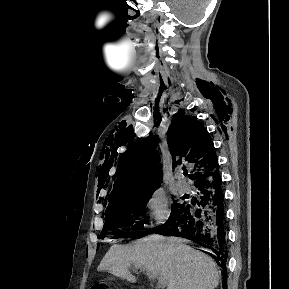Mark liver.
<instances>
[{
  "instance_id": "1",
  "label": "liver",
  "mask_w": 289,
  "mask_h": 289,
  "mask_svg": "<svg viewBox=\"0 0 289 289\" xmlns=\"http://www.w3.org/2000/svg\"><path fill=\"white\" fill-rule=\"evenodd\" d=\"M131 263L158 276L167 289H215L219 284L213 259L176 237L152 235L131 245H113L98 270L135 282L128 269Z\"/></svg>"
}]
</instances>
